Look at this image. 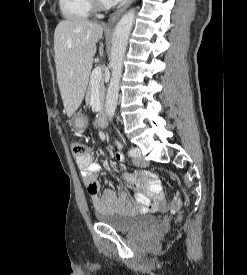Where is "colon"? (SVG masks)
I'll return each mask as SVG.
<instances>
[{
    "label": "colon",
    "mask_w": 247,
    "mask_h": 275,
    "mask_svg": "<svg viewBox=\"0 0 247 275\" xmlns=\"http://www.w3.org/2000/svg\"><path fill=\"white\" fill-rule=\"evenodd\" d=\"M71 151L77 159H82L87 155V148L81 142L72 143ZM87 190L89 193H94L96 191V187H95V185H89V186H87ZM169 208H170V210H172L174 212H178L180 210L181 198L178 193H176L174 195L173 199L169 203ZM180 219H181V216H178V220H180Z\"/></svg>",
    "instance_id": "obj_1"
}]
</instances>
